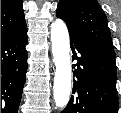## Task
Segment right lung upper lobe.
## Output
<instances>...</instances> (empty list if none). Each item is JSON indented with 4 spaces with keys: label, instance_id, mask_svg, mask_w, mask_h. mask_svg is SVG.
<instances>
[{
    "label": "right lung upper lobe",
    "instance_id": "cb5924a9",
    "mask_svg": "<svg viewBox=\"0 0 121 113\" xmlns=\"http://www.w3.org/2000/svg\"><path fill=\"white\" fill-rule=\"evenodd\" d=\"M25 27L22 0H1V40Z\"/></svg>",
    "mask_w": 121,
    "mask_h": 113
}]
</instances>
